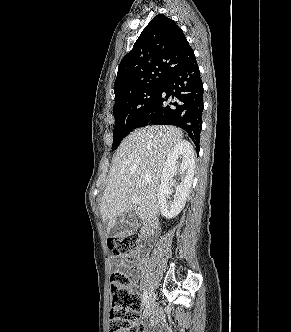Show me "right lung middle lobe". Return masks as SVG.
<instances>
[{"label": "right lung middle lobe", "mask_w": 291, "mask_h": 332, "mask_svg": "<svg viewBox=\"0 0 291 332\" xmlns=\"http://www.w3.org/2000/svg\"><path fill=\"white\" fill-rule=\"evenodd\" d=\"M162 83L163 82L153 83L115 100L113 107V115L115 118L113 150L118 147L124 137L137 127L143 113L159 93Z\"/></svg>", "instance_id": "obj_1"}]
</instances>
